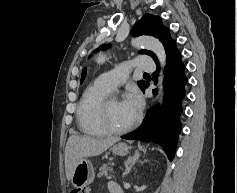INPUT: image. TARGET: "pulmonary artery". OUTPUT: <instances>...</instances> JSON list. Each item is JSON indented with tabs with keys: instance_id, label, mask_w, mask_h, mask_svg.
Listing matches in <instances>:
<instances>
[{
	"instance_id": "pulmonary-artery-1",
	"label": "pulmonary artery",
	"mask_w": 237,
	"mask_h": 193,
	"mask_svg": "<svg viewBox=\"0 0 237 193\" xmlns=\"http://www.w3.org/2000/svg\"><path fill=\"white\" fill-rule=\"evenodd\" d=\"M132 67L146 72H153L155 70V63L150 56L138 57L132 61L122 63L112 71L101 74L96 81L113 91L127 80Z\"/></svg>"
}]
</instances>
